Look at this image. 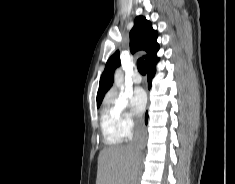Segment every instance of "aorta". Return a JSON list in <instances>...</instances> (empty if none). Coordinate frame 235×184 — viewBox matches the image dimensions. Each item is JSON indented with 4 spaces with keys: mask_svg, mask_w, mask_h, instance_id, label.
<instances>
[{
    "mask_svg": "<svg viewBox=\"0 0 235 184\" xmlns=\"http://www.w3.org/2000/svg\"><path fill=\"white\" fill-rule=\"evenodd\" d=\"M114 82L115 86H117L119 90H124V74L122 70H116L114 74Z\"/></svg>",
    "mask_w": 235,
    "mask_h": 184,
    "instance_id": "aorta-1",
    "label": "aorta"
}]
</instances>
